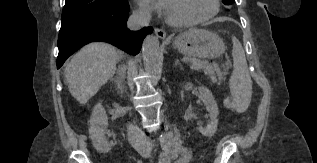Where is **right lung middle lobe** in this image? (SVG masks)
<instances>
[{
    "mask_svg": "<svg viewBox=\"0 0 317 163\" xmlns=\"http://www.w3.org/2000/svg\"><path fill=\"white\" fill-rule=\"evenodd\" d=\"M128 4L127 0H66L62 22L82 17L94 11L114 9Z\"/></svg>",
    "mask_w": 317,
    "mask_h": 163,
    "instance_id": "dd1d6c3e",
    "label": "right lung middle lobe"
}]
</instances>
